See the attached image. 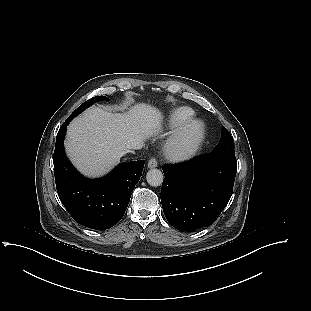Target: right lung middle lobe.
Listing matches in <instances>:
<instances>
[{"label":"right lung middle lobe","mask_w":311,"mask_h":311,"mask_svg":"<svg viewBox=\"0 0 311 311\" xmlns=\"http://www.w3.org/2000/svg\"><path fill=\"white\" fill-rule=\"evenodd\" d=\"M108 101V98L105 96H96L93 97L89 100H87L86 102H84L82 105H80L71 115L69 118L73 119L75 116H77L78 114H80L82 111H84L86 108H88L89 106H91L93 103L97 102V101Z\"/></svg>","instance_id":"right-lung-middle-lobe-1"}]
</instances>
